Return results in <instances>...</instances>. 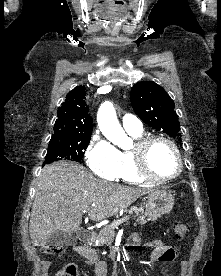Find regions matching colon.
I'll use <instances>...</instances> for the list:
<instances>
[{"mask_svg": "<svg viewBox=\"0 0 221 276\" xmlns=\"http://www.w3.org/2000/svg\"><path fill=\"white\" fill-rule=\"evenodd\" d=\"M190 231V224L187 222L176 220L173 222V235L178 241H183ZM62 246L46 245L43 252L49 255H59L62 252ZM54 276H77V269L74 265H68L59 269Z\"/></svg>", "mask_w": 221, "mask_h": 276, "instance_id": "colon-1", "label": "colon"}]
</instances>
